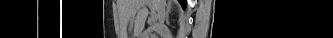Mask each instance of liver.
Returning a JSON list of instances; mask_svg holds the SVG:
<instances>
[{
    "instance_id": "1",
    "label": "liver",
    "mask_w": 333,
    "mask_h": 38,
    "mask_svg": "<svg viewBox=\"0 0 333 38\" xmlns=\"http://www.w3.org/2000/svg\"><path fill=\"white\" fill-rule=\"evenodd\" d=\"M159 0H136L135 6H133V3L131 0H122L120 2V10L121 11H128L131 10L133 7L135 8L134 14H136L135 17V34L139 35L145 25V20L147 17V9L146 6H150L153 8L154 11L158 12L159 9Z\"/></svg>"
}]
</instances>
